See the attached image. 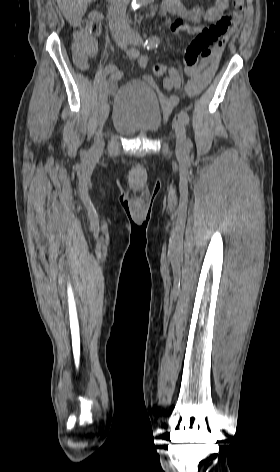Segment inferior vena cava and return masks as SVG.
<instances>
[{"label":"inferior vena cava","mask_w":280,"mask_h":472,"mask_svg":"<svg viewBox=\"0 0 280 472\" xmlns=\"http://www.w3.org/2000/svg\"><path fill=\"white\" fill-rule=\"evenodd\" d=\"M129 0H111L108 11L109 26L113 34L126 29V8Z\"/></svg>","instance_id":"inferior-vena-cava-1"}]
</instances>
